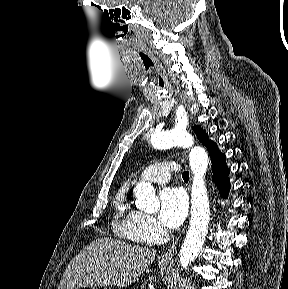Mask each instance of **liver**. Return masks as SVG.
<instances>
[{"mask_svg": "<svg viewBox=\"0 0 288 289\" xmlns=\"http://www.w3.org/2000/svg\"><path fill=\"white\" fill-rule=\"evenodd\" d=\"M156 251L112 238H99L70 261L58 289H80L135 283L155 260Z\"/></svg>", "mask_w": 288, "mask_h": 289, "instance_id": "obj_1", "label": "liver"}]
</instances>
